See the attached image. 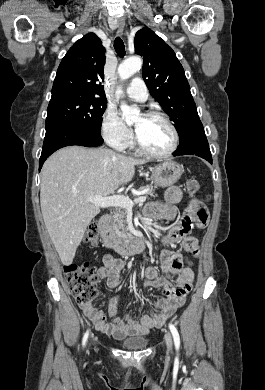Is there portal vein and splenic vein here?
<instances>
[{"label": "portal vein and splenic vein", "mask_w": 265, "mask_h": 390, "mask_svg": "<svg viewBox=\"0 0 265 390\" xmlns=\"http://www.w3.org/2000/svg\"><path fill=\"white\" fill-rule=\"evenodd\" d=\"M146 192L147 190H144L143 194ZM145 200V196H140L134 200H131L129 197L122 195H113L108 197L96 195L86 199L87 202H90L98 207H122L128 210L132 209L135 203H143Z\"/></svg>", "instance_id": "obj_1"}]
</instances>
